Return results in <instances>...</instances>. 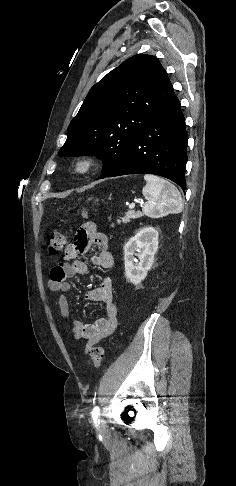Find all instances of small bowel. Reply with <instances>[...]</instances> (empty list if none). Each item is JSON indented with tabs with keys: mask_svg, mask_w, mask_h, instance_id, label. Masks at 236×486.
Returning a JSON list of instances; mask_svg holds the SVG:
<instances>
[{
	"mask_svg": "<svg viewBox=\"0 0 236 486\" xmlns=\"http://www.w3.org/2000/svg\"><path fill=\"white\" fill-rule=\"evenodd\" d=\"M92 245L99 246L92 261L104 270H110L114 261L108 250V238L97 229L93 221L83 223L73 243L67 245L64 250L63 261L58 262L50 272L49 288L54 292H60L58 305L61 316L67 320L71 314L69 291L71 284L69 280L77 275H85L88 272L86 262L79 259V256L86 252ZM85 299L100 302L104 306L105 315L92 323H81L73 320L72 333L76 339L86 341L85 351L88 352L98 341L109 336L117 325V305L113 297L112 281L109 278L97 288L85 293Z\"/></svg>",
	"mask_w": 236,
	"mask_h": 486,
	"instance_id": "small-bowel-1",
	"label": "small bowel"
}]
</instances>
